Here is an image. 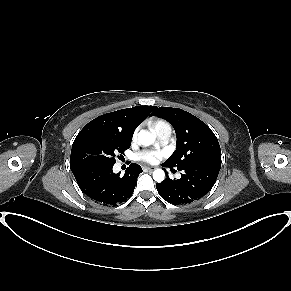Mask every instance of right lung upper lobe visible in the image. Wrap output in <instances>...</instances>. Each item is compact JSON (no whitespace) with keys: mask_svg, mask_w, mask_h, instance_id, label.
Instances as JSON below:
<instances>
[{"mask_svg":"<svg viewBox=\"0 0 291 291\" xmlns=\"http://www.w3.org/2000/svg\"><path fill=\"white\" fill-rule=\"evenodd\" d=\"M154 108L155 106H135L101 115L90 121L80 133L90 128H105L132 136L136 127L153 112Z\"/></svg>","mask_w":291,"mask_h":291,"instance_id":"right-lung-upper-lobe-1","label":"right lung upper lobe"}]
</instances>
